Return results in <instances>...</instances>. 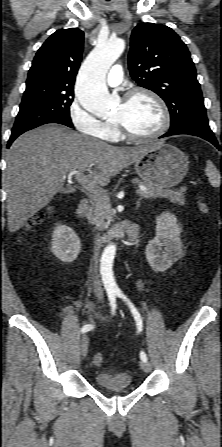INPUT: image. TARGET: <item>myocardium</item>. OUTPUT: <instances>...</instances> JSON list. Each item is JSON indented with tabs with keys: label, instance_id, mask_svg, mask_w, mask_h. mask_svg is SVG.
Segmentation results:
<instances>
[{
	"label": "myocardium",
	"instance_id": "obj_1",
	"mask_svg": "<svg viewBox=\"0 0 222 447\" xmlns=\"http://www.w3.org/2000/svg\"><path fill=\"white\" fill-rule=\"evenodd\" d=\"M138 95H146V96L150 97L159 107V109L161 111V115H162V123H161V126L158 128V130L151 134L138 135V134L133 133L120 120L115 119L113 121V123L117 127L121 136L125 137L128 140L144 142V141H151V140L157 139L160 136H162L163 134H165L166 131L170 127L171 115H170L168 106L165 103V101L157 93H155L154 91L147 89V88H137V89L131 90L130 92H128L124 95L123 102H128Z\"/></svg>",
	"mask_w": 222,
	"mask_h": 447
}]
</instances>
